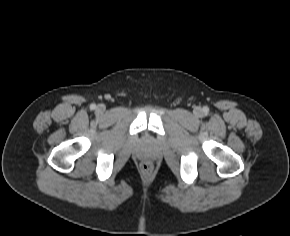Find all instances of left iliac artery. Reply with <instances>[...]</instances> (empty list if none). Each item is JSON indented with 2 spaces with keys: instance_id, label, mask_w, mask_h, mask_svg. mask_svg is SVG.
I'll return each instance as SVG.
<instances>
[{
  "instance_id": "1",
  "label": "left iliac artery",
  "mask_w": 290,
  "mask_h": 236,
  "mask_svg": "<svg viewBox=\"0 0 290 236\" xmlns=\"http://www.w3.org/2000/svg\"><path fill=\"white\" fill-rule=\"evenodd\" d=\"M203 111H204L205 113H208L209 108H208V107H204V108H203Z\"/></svg>"
}]
</instances>
